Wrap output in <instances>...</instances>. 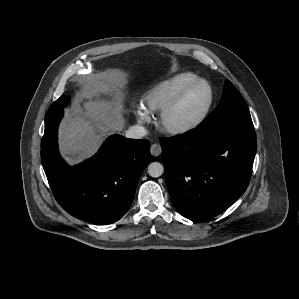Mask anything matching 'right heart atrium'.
Masks as SVG:
<instances>
[{
	"mask_svg": "<svg viewBox=\"0 0 299 299\" xmlns=\"http://www.w3.org/2000/svg\"><path fill=\"white\" fill-rule=\"evenodd\" d=\"M137 118L140 123H146L150 121V113H148L146 110L143 108H140L137 111Z\"/></svg>",
	"mask_w": 299,
	"mask_h": 299,
	"instance_id": "obj_1",
	"label": "right heart atrium"
}]
</instances>
